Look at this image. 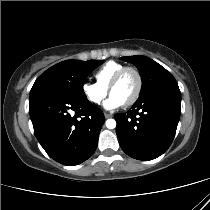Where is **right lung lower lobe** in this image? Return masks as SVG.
<instances>
[{"label": "right lung lower lobe", "mask_w": 210, "mask_h": 210, "mask_svg": "<svg viewBox=\"0 0 210 210\" xmlns=\"http://www.w3.org/2000/svg\"><path fill=\"white\" fill-rule=\"evenodd\" d=\"M29 103L34 133L52 159L74 166L92 156L104 114L87 98L46 94L30 99Z\"/></svg>", "instance_id": "right-lung-lower-lobe-1"}]
</instances>
